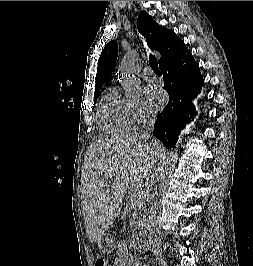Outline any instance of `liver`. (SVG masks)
<instances>
[{
  "label": "liver",
  "instance_id": "1",
  "mask_svg": "<svg viewBox=\"0 0 253 266\" xmlns=\"http://www.w3.org/2000/svg\"><path fill=\"white\" fill-rule=\"evenodd\" d=\"M164 152L157 140L148 142L134 133L90 144L84 158L82 209L91 243L112 225L129 186L141 183Z\"/></svg>",
  "mask_w": 253,
  "mask_h": 266
}]
</instances>
